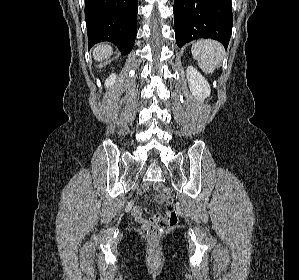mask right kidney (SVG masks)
I'll use <instances>...</instances> for the list:
<instances>
[{"label":"right kidney","instance_id":"right-kidney-1","mask_svg":"<svg viewBox=\"0 0 299 280\" xmlns=\"http://www.w3.org/2000/svg\"><path fill=\"white\" fill-rule=\"evenodd\" d=\"M115 79H116V75H115L114 73H112V74L110 75V77L107 78L106 81H105V85H106V87L108 88V87L113 86L114 83L116 82Z\"/></svg>","mask_w":299,"mask_h":280}]
</instances>
